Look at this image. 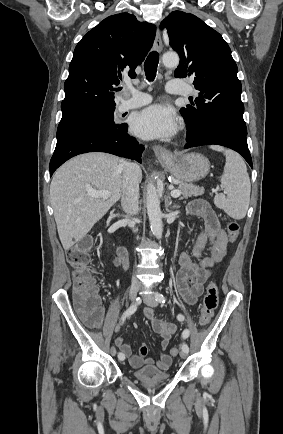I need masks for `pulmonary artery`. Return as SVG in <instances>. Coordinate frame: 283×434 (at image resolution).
I'll return each instance as SVG.
<instances>
[{"label": "pulmonary artery", "instance_id": "e3ab8cb5", "mask_svg": "<svg viewBox=\"0 0 283 434\" xmlns=\"http://www.w3.org/2000/svg\"><path fill=\"white\" fill-rule=\"evenodd\" d=\"M166 89L169 93L178 95H189L193 92V88L190 85L178 80L169 81ZM125 91L129 97H125L121 100L118 105L119 112H125L130 109L144 106L151 101L149 95L136 90L131 85H127Z\"/></svg>", "mask_w": 283, "mask_h": 434}]
</instances>
